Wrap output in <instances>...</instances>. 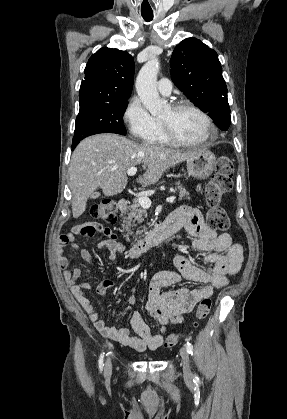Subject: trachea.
Listing matches in <instances>:
<instances>
[{
	"instance_id": "3493384b",
	"label": "trachea",
	"mask_w": 287,
	"mask_h": 419,
	"mask_svg": "<svg viewBox=\"0 0 287 419\" xmlns=\"http://www.w3.org/2000/svg\"><path fill=\"white\" fill-rule=\"evenodd\" d=\"M142 17L145 21L149 22L153 19V15L149 14H142Z\"/></svg>"
}]
</instances>
